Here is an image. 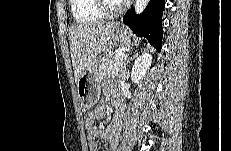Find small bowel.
Returning a JSON list of instances; mask_svg holds the SVG:
<instances>
[{"label":"small bowel","instance_id":"1","mask_svg":"<svg viewBox=\"0 0 231 151\" xmlns=\"http://www.w3.org/2000/svg\"><path fill=\"white\" fill-rule=\"evenodd\" d=\"M108 89L111 93L113 94L115 93L111 87H109ZM116 101H118L117 98ZM104 114H105V109L103 105H99L94 110H92V112H90V114L86 118L85 126L88 132L87 139H88V146L90 151H97L98 144L95 140L96 136H100L108 143L107 148L104 149L103 151H117L118 142H119V133H120V116L118 117L116 116L114 118L110 127L107 130L99 131L95 127V122L103 118Z\"/></svg>","mask_w":231,"mask_h":151}]
</instances>
